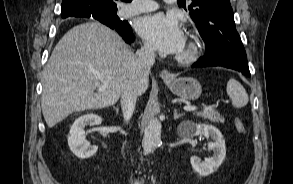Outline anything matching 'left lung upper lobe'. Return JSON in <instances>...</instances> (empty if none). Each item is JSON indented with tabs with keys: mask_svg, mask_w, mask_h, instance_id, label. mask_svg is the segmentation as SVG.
<instances>
[{
	"mask_svg": "<svg viewBox=\"0 0 293 184\" xmlns=\"http://www.w3.org/2000/svg\"><path fill=\"white\" fill-rule=\"evenodd\" d=\"M179 6L190 11V15L206 45V52L215 51L220 38L236 31L230 0H178Z\"/></svg>",
	"mask_w": 293,
	"mask_h": 184,
	"instance_id": "5c2ea615",
	"label": "left lung upper lobe"
}]
</instances>
